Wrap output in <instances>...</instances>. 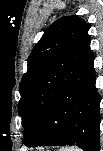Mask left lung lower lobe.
I'll return each mask as SVG.
<instances>
[{"mask_svg":"<svg viewBox=\"0 0 103 151\" xmlns=\"http://www.w3.org/2000/svg\"><path fill=\"white\" fill-rule=\"evenodd\" d=\"M93 63L86 33L33 78L23 116L25 145L99 151L101 97Z\"/></svg>","mask_w":103,"mask_h":151,"instance_id":"left-lung-lower-lobe-1","label":"left lung lower lobe"}]
</instances>
